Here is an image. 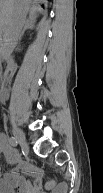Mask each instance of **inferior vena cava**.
<instances>
[{
  "label": "inferior vena cava",
  "mask_w": 103,
  "mask_h": 193,
  "mask_svg": "<svg viewBox=\"0 0 103 193\" xmlns=\"http://www.w3.org/2000/svg\"><path fill=\"white\" fill-rule=\"evenodd\" d=\"M21 27H22V20H21L20 14H17L15 17L14 23L11 26L10 36L7 38L3 46V57L6 61L11 60V54L19 39Z\"/></svg>",
  "instance_id": "602c4592"
}]
</instances>
